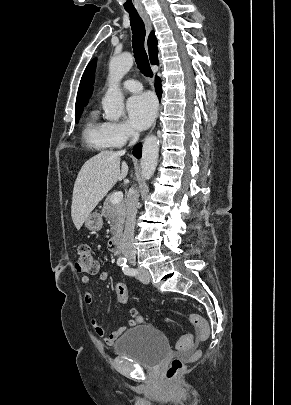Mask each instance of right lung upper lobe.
Listing matches in <instances>:
<instances>
[{
	"label": "right lung upper lobe",
	"instance_id": "obj_1",
	"mask_svg": "<svg viewBox=\"0 0 291 405\" xmlns=\"http://www.w3.org/2000/svg\"><path fill=\"white\" fill-rule=\"evenodd\" d=\"M148 49L151 64H158V49H157V39L152 32L148 38ZM96 59L92 60L81 78L75 109L83 108L87 105L88 99L91 97L93 92L94 83V71H95Z\"/></svg>",
	"mask_w": 291,
	"mask_h": 405
}]
</instances>
